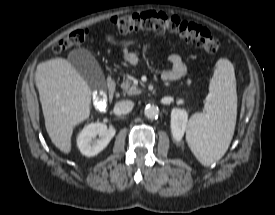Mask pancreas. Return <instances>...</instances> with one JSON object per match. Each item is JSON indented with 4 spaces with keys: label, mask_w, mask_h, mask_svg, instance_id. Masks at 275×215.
<instances>
[{
    "label": "pancreas",
    "mask_w": 275,
    "mask_h": 215,
    "mask_svg": "<svg viewBox=\"0 0 275 215\" xmlns=\"http://www.w3.org/2000/svg\"><path fill=\"white\" fill-rule=\"evenodd\" d=\"M190 80H188V84H190ZM122 90L128 95H135L141 93V90L136 87L130 80L126 79L121 84Z\"/></svg>",
    "instance_id": "obj_1"
}]
</instances>
